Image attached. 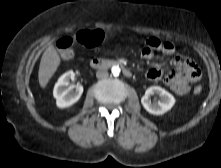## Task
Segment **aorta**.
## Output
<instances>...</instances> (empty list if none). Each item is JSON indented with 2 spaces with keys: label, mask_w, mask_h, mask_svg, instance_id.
I'll use <instances>...</instances> for the list:
<instances>
[{
  "label": "aorta",
  "mask_w": 221,
  "mask_h": 168,
  "mask_svg": "<svg viewBox=\"0 0 221 168\" xmlns=\"http://www.w3.org/2000/svg\"><path fill=\"white\" fill-rule=\"evenodd\" d=\"M111 72H112V74H113L114 76H118V75L120 74V72H121V69H120L119 66H113V67L111 68Z\"/></svg>",
  "instance_id": "1"
}]
</instances>
